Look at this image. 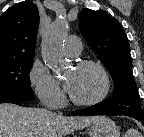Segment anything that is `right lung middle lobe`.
Wrapping results in <instances>:
<instances>
[{"mask_svg":"<svg viewBox=\"0 0 144 137\" xmlns=\"http://www.w3.org/2000/svg\"><path fill=\"white\" fill-rule=\"evenodd\" d=\"M33 58L25 57L0 62V99L19 101L34 99L29 78Z\"/></svg>","mask_w":144,"mask_h":137,"instance_id":"obj_1","label":"right lung middle lobe"}]
</instances>
